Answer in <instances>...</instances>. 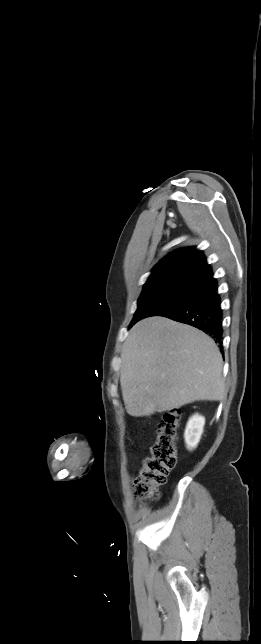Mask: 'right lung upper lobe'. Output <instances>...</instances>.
<instances>
[{
    "label": "right lung upper lobe",
    "instance_id": "obj_1",
    "mask_svg": "<svg viewBox=\"0 0 261 644\" xmlns=\"http://www.w3.org/2000/svg\"><path fill=\"white\" fill-rule=\"evenodd\" d=\"M213 276L210 265L195 247L176 250L157 264L146 284L169 279L203 283Z\"/></svg>",
    "mask_w": 261,
    "mask_h": 644
}]
</instances>
